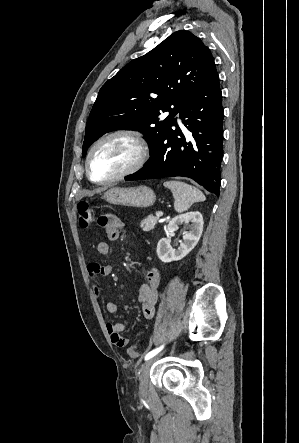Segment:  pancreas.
<instances>
[{"mask_svg": "<svg viewBox=\"0 0 299 443\" xmlns=\"http://www.w3.org/2000/svg\"><path fill=\"white\" fill-rule=\"evenodd\" d=\"M157 222H158V218L157 217L149 215L148 217H146L145 219H143L141 221L140 226H141V228L144 231H150V230H153L155 228Z\"/></svg>", "mask_w": 299, "mask_h": 443, "instance_id": "pancreas-1", "label": "pancreas"}]
</instances>
